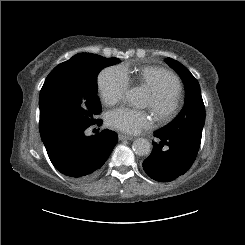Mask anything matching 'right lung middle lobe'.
Returning <instances> with one entry per match:
<instances>
[{
    "label": "right lung middle lobe",
    "mask_w": 245,
    "mask_h": 245,
    "mask_svg": "<svg viewBox=\"0 0 245 245\" xmlns=\"http://www.w3.org/2000/svg\"><path fill=\"white\" fill-rule=\"evenodd\" d=\"M117 62V58L80 53L59 64L48 75L39 98L42 141L59 131L96 123L95 116L101 112L97 97L98 73Z\"/></svg>",
    "instance_id": "1"
}]
</instances>
